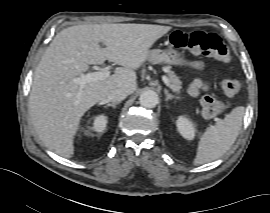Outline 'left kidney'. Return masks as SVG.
<instances>
[{
  "label": "left kidney",
  "instance_id": "left-kidney-1",
  "mask_svg": "<svg viewBox=\"0 0 270 213\" xmlns=\"http://www.w3.org/2000/svg\"><path fill=\"white\" fill-rule=\"evenodd\" d=\"M177 130L187 140H192L195 136V125L194 123L185 116H179L177 121Z\"/></svg>",
  "mask_w": 270,
  "mask_h": 213
}]
</instances>
